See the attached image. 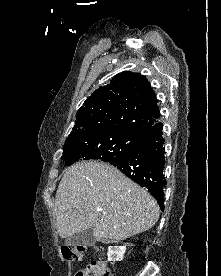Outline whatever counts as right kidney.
<instances>
[{
    "instance_id": "right-kidney-1",
    "label": "right kidney",
    "mask_w": 221,
    "mask_h": 276,
    "mask_svg": "<svg viewBox=\"0 0 221 276\" xmlns=\"http://www.w3.org/2000/svg\"><path fill=\"white\" fill-rule=\"evenodd\" d=\"M126 252V245L125 246H109L107 256L108 261H122L123 256Z\"/></svg>"
}]
</instances>
